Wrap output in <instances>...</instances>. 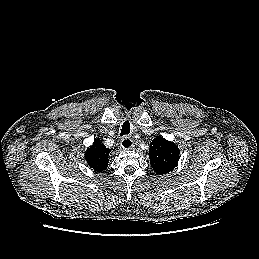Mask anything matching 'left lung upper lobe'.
I'll list each match as a JSON object with an SVG mask.
<instances>
[{"instance_id": "1", "label": "left lung upper lobe", "mask_w": 259, "mask_h": 259, "mask_svg": "<svg viewBox=\"0 0 259 259\" xmlns=\"http://www.w3.org/2000/svg\"><path fill=\"white\" fill-rule=\"evenodd\" d=\"M179 154L178 147L162 136H157L150 143V163L153 170L159 175L169 173L175 168L179 160Z\"/></svg>"}]
</instances>
